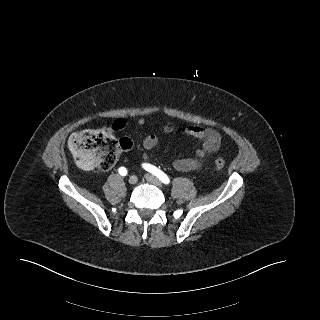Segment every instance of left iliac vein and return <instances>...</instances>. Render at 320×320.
<instances>
[{
    "label": "left iliac vein",
    "instance_id": "obj_1",
    "mask_svg": "<svg viewBox=\"0 0 320 320\" xmlns=\"http://www.w3.org/2000/svg\"><path fill=\"white\" fill-rule=\"evenodd\" d=\"M145 179H146L149 183H151V184H153V185H155V186H157V187H159V188L162 187L161 181H160L157 177H155V176H153V175H151V174H146V175H145Z\"/></svg>",
    "mask_w": 320,
    "mask_h": 320
}]
</instances>
